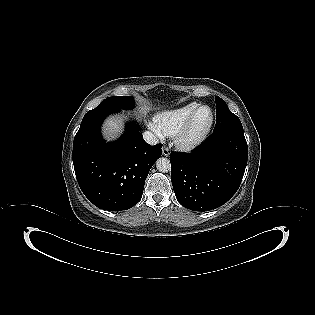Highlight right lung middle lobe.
<instances>
[{"label":"right lung middle lobe","instance_id":"dd1d6c3e","mask_svg":"<svg viewBox=\"0 0 315 315\" xmlns=\"http://www.w3.org/2000/svg\"><path fill=\"white\" fill-rule=\"evenodd\" d=\"M98 106H116L123 109H129L134 106V99L129 96L108 97Z\"/></svg>","mask_w":315,"mask_h":315}]
</instances>
